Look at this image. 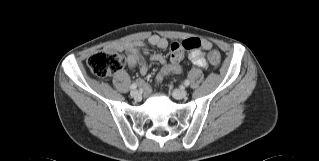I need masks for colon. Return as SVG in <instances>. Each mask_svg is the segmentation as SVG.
<instances>
[{
	"label": "colon",
	"mask_w": 319,
	"mask_h": 161,
	"mask_svg": "<svg viewBox=\"0 0 319 161\" xmlns=\"http://www.w3.org/2000/svg\"><path fill=\"white\" fill-rule=\"evenodd\" d=\"M201 47V42L197 38H188L180 42H174L171 45V62L178 64L184 51H193ZM210 61L213 64L220 62V54L217 50H212L209 54ZM125 59L122 54L116 51H103L95 53L88 59L90 71L99 77L113 75L124 67Z\"/></svg>",
	"instance_id": "5ec220e1"
}]
</instances>
